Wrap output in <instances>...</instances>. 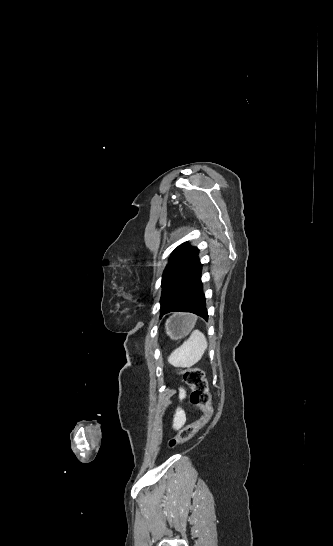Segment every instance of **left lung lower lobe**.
<instances>
[{"label": "left lung lower lobe", "mask_w": 333, "mask_h": 546, "mask_svg": "<svg viewBox=\"0 0 333 546\" xmlns=\"http://www.w3.org/2000/svg\"><path fill=\"white\" fill-rule=\"evenodd\" d=\"M201 269L202 264L197 257L177 275L166 292L161 317L169 312L179 311L191 312L208 320Z\"/></svg>", "instance_id": "1"}]
</instances>
